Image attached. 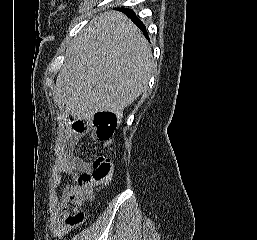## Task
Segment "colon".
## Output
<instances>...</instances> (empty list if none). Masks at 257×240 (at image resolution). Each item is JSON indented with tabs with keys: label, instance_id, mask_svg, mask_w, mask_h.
Masks as SVG:
<instances>
[{
	"label": "colon",
	"instance_id": "1",
	"mask_svg": "<svg viewBox=\"0 0 257 240\" xmlns=\"http://www.w3.org/2000/svg\"><path fill=\"white\" fill-rule=\"evenodd\" d=\"M118 118L112 112H98L94 115L92 126L97 140H110L117 128ZM67 128L75 134H82L86 129L85 123L71 119ZM112 173L111 160L105 155H99L91 164L89 172L78 177L77 184L59 201L60 211L66 224L77 227L84 222L85 215L80 210L83 201L90 198L100 184L107 182Z\"/></svg>",
	"mask_w": 257,
	"mask_h": 240
}]
</instances>
